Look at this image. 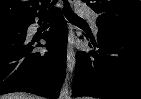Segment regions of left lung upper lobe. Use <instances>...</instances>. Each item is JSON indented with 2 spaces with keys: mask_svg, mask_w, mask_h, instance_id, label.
<instances>
[{
  "mask_svg": "<svg viewBox=\"0 0 141 99\" xmlns=\"http://www.w3.org/2000/svg\"><path fill=\"white\" fill-rule=\"evenodd\" d=\"M87 5L99 14L97 26L141 30L140 0H89Z\"/></svg>",
  "mask_w": 141,
  "mask_h": 99,
  "instance_id": "left-lung-upper-lobe-1",
  "label": "left lung upper lobe"
}]
</instances>
